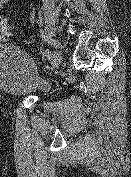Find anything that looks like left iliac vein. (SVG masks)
Segmentation results:
<instances>
[{"instance_id": "left-iliac-vein-1", "label": "left iliac vein", "mask_w": 131, "mask_h": 177, "mask_svg": "<svg viewBox=\"0 0 131 177\" xmlns=\"http://www.w3.org/2000/svg\"><path fill=\"white\" fill-rule=\"evenodd\" d=\"M55 48L56 49L54 50L52 55L53 63L51 64V70H55L56 68H58L62 61V54L60 50L61 47L57 42H55Z\"/></svg>"}]
</instances>
